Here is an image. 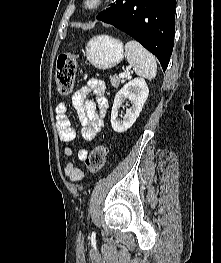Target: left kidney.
<instances>
[{"mask_svg": "<svg viewBox=\"0 0 221 263\" xmlns=\"http://www.w3.org/2000/svg\"><path fill=\"white\" fill-rule=\"evenodd\" d=\"M148 94V86L145 80L142 78H135L129 81L116 94L111 111V125L115 132H125L134 124L140 112L142 111ZM126 99H129L132 105L126 110L123 120H119L118 110L122 102H124Z\"/></svg>", "mask_w": 221, "mask_h": 263, "instance_id": "1", "label": "left kidney"}]
</instances>
